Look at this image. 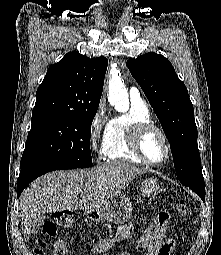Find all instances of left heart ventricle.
Instances as JSON below:
<instances>
[{
	"label": "left heart ventricle",
	"mask_w": 221,
	"mask_h": 255,
	"mask_svg": "<svg viewBox=\"0 0 221 255\" xmlns=\"http://www.w3.org/2000/svg\"><path fill=\"white\" fill-rule=\"evenodd\" d=\"M143 151L146 157L153 162H162L166 157L165 145L156 132H150L145 137Z\"/></svg>",
	"instance_id": "left-heart-ventricle-1"
}]
</instances>
